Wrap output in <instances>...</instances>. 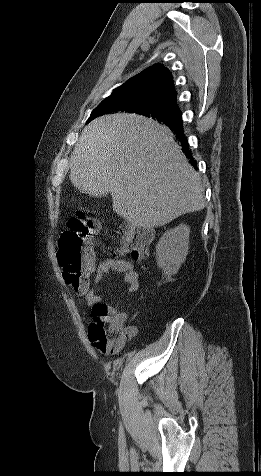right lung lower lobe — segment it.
<instances>
[{
	"mask_svg": "<svg viewBox=\"0 0 261 476\" xmlns=\"http://www.w3.org/2000/svg\"><path fill=\"white\" fill-rule=\"evenodd\" d=\"M167 126L174 132L177 138H179L183 151L185 152L186 156L190 159L191 164L195 165L196 162L192 158L191 152L188 147L187 139L183 132L182 121L180 120L179 122L169 124Z\"/></svg>",
	"mask_w": 261,
	"mask_h": 476,
	"instance_id": "right-lung-lower-lobe-1",
	"label": "right lung lower lobe"
}]
</instances>
